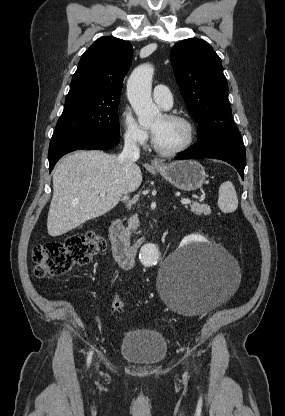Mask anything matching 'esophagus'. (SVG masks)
<instances>
[{"label": "esophagus", "mask_w": 285, "mask_h": 416, "mask_svg": "<svg viewBox=\"0 0 285 416\" xmlns=\"http://www.w3.org/2000/svg\"><path fill=\"white\" fill-rule=\"evenodd\" d=\"M159 162L157 160H153L152 164L157 165Z\"/></svg>", "instance_id": "34e87169"}]
</instances>
